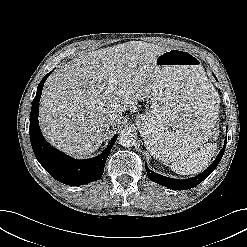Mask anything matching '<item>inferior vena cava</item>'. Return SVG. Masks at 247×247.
<instances>
[{"label": "inferior vena cava", "mask_w": 247, "mask_h": 247, "mask_svg": "<svg viewBox=\"0 0 247 247\" xmlns=\"http://www.w3.org/2000/svg\"><path fill=\"white\" fill-rule=\"evenodd\" d=\"M121 117L118 114H111L107 119L109 125H116L120 123Z\"/></svg>", "instance_id": "obj_1"}]
</instances>
